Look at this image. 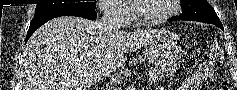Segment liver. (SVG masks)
<instances>
[{"label":"liver","instance_id":"6515ba94","mask_svg":"<svg viewBox=\"0 0 237 90\" xmlns=\"http://www.w3.org/2000/svg\"><path fill=\"white\" fill-rule=\"evenodd\" d=\"M154 34L156 30L106 34L97 20L54 18L26 44L21 70L24 90H87L99 66H105L109 76L123 66V50H140Z\"/></svg>","mask_w":237,"mask_h":90}]
</instances>
